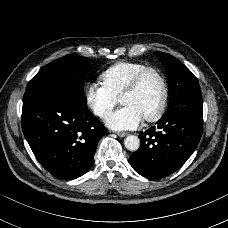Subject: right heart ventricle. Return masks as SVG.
<instances>
[{"mask_svg": "<svg viewBox=\"0 0 228 228\" xmlns=\"http://www.w3.org/2000/svg\"><path fill=\"white\" fill-rule=\"evenodd\" d=\"M146 67L149 66L145 63L121 61L106 68L100 78L104 87L119 99L134 76Z\"/></svg>", "mask_w": 228, "mask_h": 228, "instance_id": "right-heart-ventricle-1", "label": "right heart ventricle"}]
</instances>
